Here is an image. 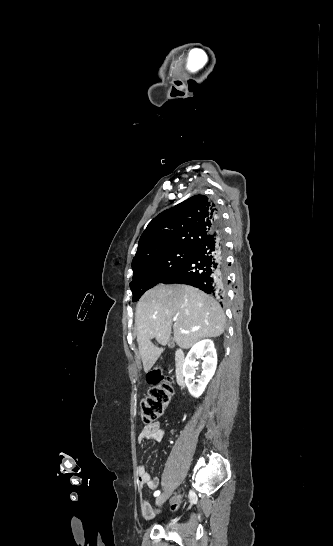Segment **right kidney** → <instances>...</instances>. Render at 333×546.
<instances>
[{
  "mask_svg": "<svg viewBox=\"0 0 333 546\" xmlns=\"http://www.w3.org/2000/svg\"><path fill=\"white\" fill-rule=\"evenodd\" d=\"M203 355H206L202 363L203 371L201 377L195 382L196 358ZM216 366L217 353L213 341L202 340L190 349L182 367V374L185 377V384L192 396L197 398L204 392L208 382L215 373Z\"/></svg>",
  "mask_w": 333,
  "mask_h": 546,
  "instance_id": "ca27d5eb",
  "label": "right kidney"
}]
</instances>
